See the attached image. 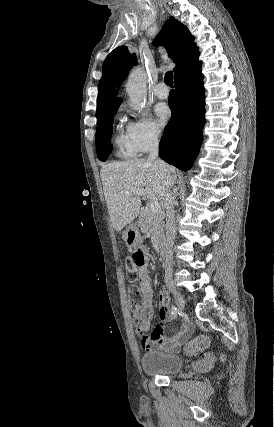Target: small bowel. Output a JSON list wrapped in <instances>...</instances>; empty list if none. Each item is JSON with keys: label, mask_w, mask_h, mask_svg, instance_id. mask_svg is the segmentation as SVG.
Listing matches in <instances>:
<instances>
[{"label": "small bowel", "mask_w": 274, "mask_h": 427, "mask_svg": "<svg viewBox=\"0 0 274 427\" xmlns=\"http://www.w3.org/2000/svg\"><path fill=\"white\" fill-rule=\"evenodd\" d=\"M142 251L145 255V262L137 270V280L143 295V305L137 312L136 333L139 336L142 349L146 352L158 350L166 353H177L182 344L189 338L191 329L189 325H185L182 330L176 333H166L165 323L170 319V311L169 299L165 293H161L159 296L158 315L160 322L153 328L150 336L146 335L151 328L153 315V289L146 265L149 257L148 250L143 249Z\"/></svg>", "instance_id": "1"}]
</instances>
